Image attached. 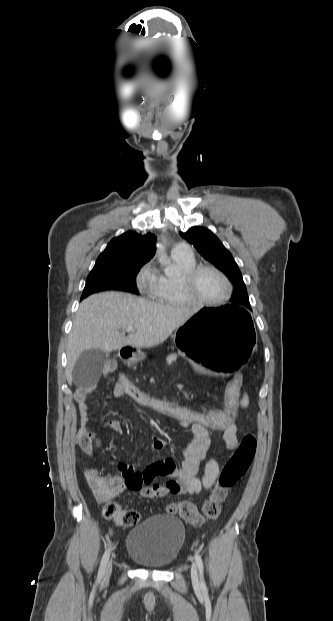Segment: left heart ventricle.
<instances>
[{"label": "left heart ventricle", "instance_id": "1", "mask_svg": "<svg viewBox=\"0 0 333 621\" xmlns=\"http://www.w3.org/2000/svg\"><path fill=\"white\" fill-rule=\"evenodd\" d=\"M227 286L224 280L212 271L202 272L195 283V293L204 300H219L225 296Z\"/></svg>", "mask_w": 333, "mask_h": 621}]
</instances>
